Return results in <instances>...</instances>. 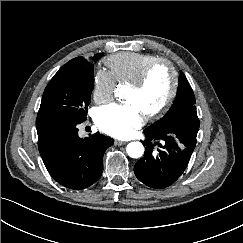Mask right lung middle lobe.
<instances>
[{"label":"right lung middle lobe","instance_id":"right-lung-middle-lobe-1","mask_svg":"<svg viewBox=\"0 0 243 243\" xmlns=\"http://www.w3.org/2000/svg\"><path fill=\"white\" fill-rule=\"evenodd\" d=\"M101 57L102 54H97L93 60ZM93 75L94 66L87 61L62 66L44 90L37 119L85 121L94 87Z\"/></svg>","mask_w":243,"mask_h":243}]
</instances>
